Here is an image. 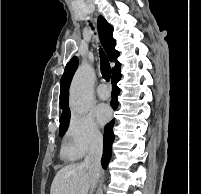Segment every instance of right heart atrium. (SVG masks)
<instances>
[{
	"label": "right heart atrium",
	"mask_w": 201,
	"mask_h": 194,
	"mask_svg": "<svg viewBox=\"0 0 201 194\" xmlns=\"http://www.w3.org/2000/svg\"><path fill=\"white\" fill-rule=\"evenodd\" d=\"M102 142V134L88 114L71 115L65 133L64 153L70 158H79L96 149Z\"/></svg>",
	"instance_id": "obj_1"
}]
</instances>
